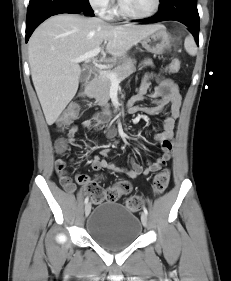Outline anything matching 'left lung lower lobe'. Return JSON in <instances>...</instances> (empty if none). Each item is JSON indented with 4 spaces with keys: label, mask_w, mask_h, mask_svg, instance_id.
<instances>
[{
    "label": "left lung lower lobe",
    "mask_w": 231,
    "mask_h": 281,
    "mask_svg": "<svg viewBox=\"0 0 231 281\" xmlns=\"http://www.w3.org/2000/svg\"><path fill=\"white\" fill-rule=\"evenodd\" d=\"M164 20H175L189 27L199 44V14L197 0H164L160 11L153 17L143 20H134L140 23H156Z\"/></svg>",
    "instance_id": "left-lung-lower-lobe-1"
}]
</instances>
